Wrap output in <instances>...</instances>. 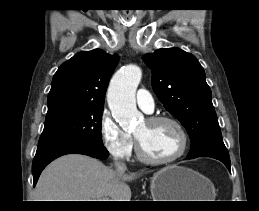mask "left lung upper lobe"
Listing matches in <instances>:
<instances>
[{
    "mask_svg": "<svg viewBox=\"0 0 259 211\" xmlns=\"http://www.w3.org/2000/svg\"><path fill=\"white\" fill-rule=\"evenodd\" d=\"M152 69V87L165 108L186 128L191 149L187 157L229 155L223 143L212 94L198 60L179 48L145 54Z\"/></svg>",
    "mask_w": 259,
    "mask_h": 211,
    "instance_id": "1",
    "label": "left lung upper lobe"
}]
</instances>
